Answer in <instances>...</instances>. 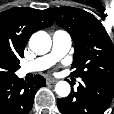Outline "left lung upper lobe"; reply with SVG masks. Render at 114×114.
Returning a JSON list of instances; mask_svg holds the SVG:
<instances>
[{
    "label": "left lung upper lobe",
    "mask_w": 114,
    "mask_h": 114,
    "mask_svg": "<svg viewBox=\"0 0 114 114\" xmlns=\"http://www.w3.org/2000/svg\"><path fill=\"white\" fill-rule=\"evenodd\" d=\"M46 11L74 40V71L71 75L114 84V45L101 22L92 14L74 7Z\"/></svg>",
    "instance_id": "5c2ea615"
}]
</instances>
